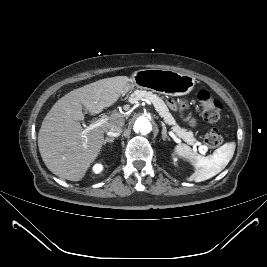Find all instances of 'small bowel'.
Segmentation results:
<instances>
[{
  "label": "small bowel",
  "mask_w": 267,
  "mask_h": 267,
  "mask_svg": "<svg viewBox=\"0 0 267 267\" xmlns=\"http://www.w3.org/2000/svg\"><path fill=\"white\" fill-rule=\"evenodd\" d=\"M168 103H169V105L171 106V107H173V108H176V107H178L180 104L179 103H177L175 100H173V99H168Z\"/></svg>",
  "instance_id": "small-bowel-1"
}]
</instances>
